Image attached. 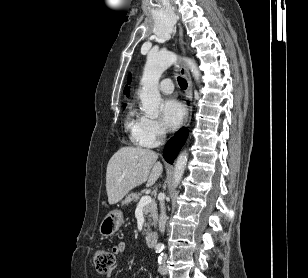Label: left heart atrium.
Listing matches in <instances>:
<instances>
[{"instance_id": "39dd6f15", "label": "left heart atrium", "mask_w": 308, "mask_h": 278, "mask_svg": "<svg viewBox=\"0 0 308 278\" xmlns=\"http://www.w3.org/2000/svg\"><path fill=\"white\" fill-rule=\"evenodd\" d=\"M185 110L176 99H168L162 104V120L169 129H176L183 121Z\"/></svg>"}]
</instances>
